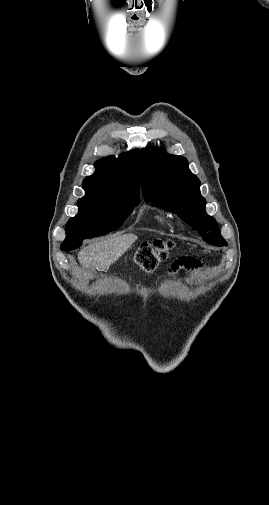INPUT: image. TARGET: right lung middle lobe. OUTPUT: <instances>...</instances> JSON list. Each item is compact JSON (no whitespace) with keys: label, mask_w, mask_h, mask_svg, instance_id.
Here are the masks:
<instances>
[{"label":"right lung middle lobe","mask_w":269,"mask_h":505,"mask_svg":"<svg viewBox=\"0 0 269 505\" xmlns=\"http://www.w3.org/2000/svg\"><path fill=\"white\" fill-rule=\"evenodd\" d=\"M140 202L139 198L83 197L78 200V214L66 225V239L61 250L78 248L83 239L107 234L118 229Z\"/></svg>","instance_id":"dd1d6c3e"}]
</instances>
